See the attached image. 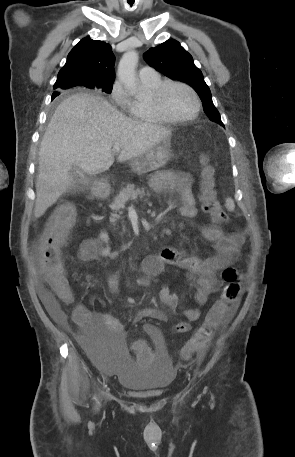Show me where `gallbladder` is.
<instances>
[{"instance_id": "1", "label": "gallbladder", "mask_w": 295, "mask_h": 457, "mask_svg": "<svg viewBox=\"0 0 295 457\" xmlns=\"http://www.w3.org/2000/svg\"><path fill=\"white\" fill-rule=\"evenodd\" d=\"M80 169L76 166L72 167L71 169V174L74 176L75 179V184H78L80 182V179L78 178Z\"/></svg>"}]
</instances>
